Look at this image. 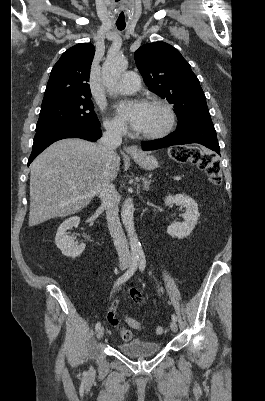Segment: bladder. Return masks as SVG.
I'll return each mask as SVG.
<instances>
[{
  "mask_svg": "<svg viewBox=\"0 0 265 401\" xmlns=\"http://www.w3.org/2000/svg\"><path fill=\"white\" fill-rule=\"evenodd\" d=\"M117 348L122 353L133 357L150 356L161 350V343L156 342H140L134 340L125 344L117 345Z\"/></svg>",
  "mask_w": 265,
  "mask_h": 401,
  "instance_id": "bladder-1",
  "label": "bladder"
}]
</instances>
